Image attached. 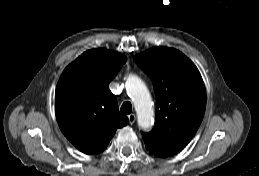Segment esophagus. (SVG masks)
Masks as SVG:
<instances>
[{
    "mask_svg": "<svg viewBox=\"0 0 259 176\" xmlns=\"http://www.w3.org/2000/svg\"><path fill=\"white\" fill-rule=\"evenodd\" d=\"M128 119H129V123L132 125L134 124L135 120H136V116L135 114H130L128 115Z\"/></svg>",
    "mask_w": 259,
    "mask_h": 176,
    "instance_id": "esophagus-1",
    "label": "esophagus"
}]
</instances>
